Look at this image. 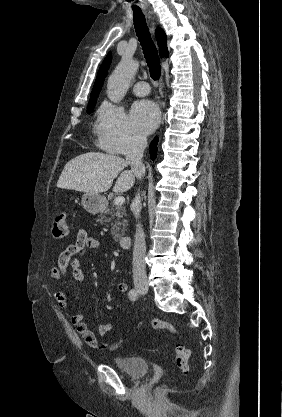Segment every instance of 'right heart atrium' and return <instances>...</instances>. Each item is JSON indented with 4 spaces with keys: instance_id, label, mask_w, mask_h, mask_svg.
<instances>
[{
    "instance_id": "obj_1",
    "label": "right heart atrium",
    "mask_w": 282,
    "mask_h": 417,
    "mask_svg": "<svg viewBox=\"0 0 282 417\" xmlns=\"http://www.w3.org/2000/svg\"><path fill=\"white\" fill-rule=\"evenodd\" d=\"M103 109V115L96 126L100 147L120 155L139 150L144 138L132 126L123 108L107 104Z\"/></svg>"
}]
</instances>
